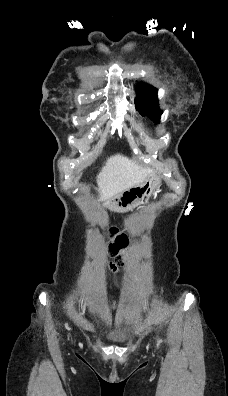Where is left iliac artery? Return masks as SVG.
<instances>
[{
    "mask_svg": "<svg viewBox=\"0 0 228 396\" xmlns=\"http://www.w3.org/2000/svg\"><path fill=\"white\" fill-rule=\"evenodd\" d=\"M159 344H160V341L158 340L157 346H159Z\"/></svg>",
    "mask_w": 228,
    "mask_h": 396,
    "instance_id": "44dca946",
    "label": "left iliac artery"
}]
</instances>
